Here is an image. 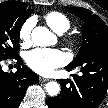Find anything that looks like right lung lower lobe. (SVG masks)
<instances>
[{
	"mask_svg": "<svg viewBox=\"0 0 108 108\" xmlns=\"http://www.w3.org/2000/svg\"><path fill=\"white\" fill-rule=\"evenodd\" d=\"M13 59L17 60L18 64L23 62L19 55ZM2 60L6 59L0 58V62ZM38 82L37 74L26 66H18L15 73H6L0 65V108H18L28 86Z\"/></svg>",
	"mask_w": 108,
	"mask_h": 108,
	"instance_id": "right-lung-lower-lobe-1",
	"label": "right lung lower lobe"
}]
</instances>
